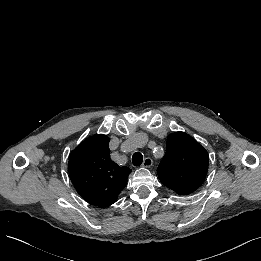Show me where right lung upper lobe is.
<instances>
[{
	"label": "right lung upper lobe",
	"mask_w": 261,
	"mask_h": 261,
	"mask_svg": "<svg viewBox=\"0 0 261 261\" xmlns=\"http://www.w3.org/2000/svg\"><path fill=\"white\" fill-rule=\"evenodd\" d=\"M109 141L103 134L87 138L71 152L68 162L69 176L77 192L100 207L117 201L131 172L111 160Z\"/></svg>",
	"instance_id": "right-lung-upper-lobe-1"
}]
</instances>
